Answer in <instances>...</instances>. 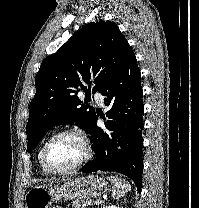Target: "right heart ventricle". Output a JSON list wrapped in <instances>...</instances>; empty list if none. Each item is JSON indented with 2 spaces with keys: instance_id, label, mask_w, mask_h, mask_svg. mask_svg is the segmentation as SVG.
Segmentation results:
<instances>
[{
  "instance_id": "1",
  "label": "right heart ventricle",
  "mask_w": 199,
  "mask_h": 208,
  "mask_svg": "<svg viewBox=\"0 0 199 208\" xmlns=\"http://www.w3.org/2000/svg\"><path fill=\"white\" fill-rule=\"evenodd\" d=\"M45 142H46V141H44V142L41 144V146H40V148H39V150H38V153H37V159H38V163H39L41 169L43 170V172L46 173V174H50L51 172L45 167V165H44V163H43V159H42V149H43V146H44V143H45Z\"/></svg>"
}]
</instances>
